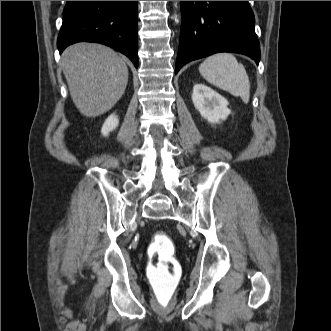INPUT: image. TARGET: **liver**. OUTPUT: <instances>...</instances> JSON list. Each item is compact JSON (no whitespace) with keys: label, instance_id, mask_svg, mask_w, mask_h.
I'll return each mask as SVG.
<instances>
[{"label":"liver","instance_id":"1","mask_svg":"<svg viewBox=\"0 0 331 331\" xmlns=\"http://www.w3.org/2000/svg\"><path fill=\"white\" fill-rule=\"evenodd\" d=\"M61 64L71 98L87 117L109 111L122 97L128 83V68L112 49L80 42L65 49Z\"/></svg>","mask_w":331,"mask_h":331}]
</instances>
